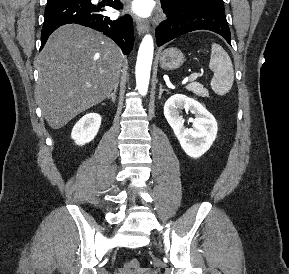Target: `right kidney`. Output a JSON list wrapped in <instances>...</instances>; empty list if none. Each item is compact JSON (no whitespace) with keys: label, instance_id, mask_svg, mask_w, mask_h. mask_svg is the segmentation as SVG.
<instances>
[{"label":"right kidney","instance_id":"ca27d5eb","mask_svg":"<svg viewBox=\"0 0 289 274\" xmlns=\"http://www.w3.org/2000/svg\"><path fill=\"white\" fill-rule=\"evenodd\" d=\"M100 125L101 116L98 113H88L75 124L71 137L77 145L82 146L95 138Z\"/></svg>","mask_w":289,"mask_h":274}]
</instances>
